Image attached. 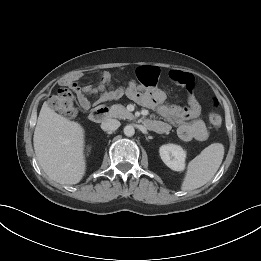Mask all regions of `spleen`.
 <instances>
[{"mask_svg": "<svg viewBox=\"0 0 261 261\" xmlns=\"http://www.w3.org/2000/svg\"><path fill=\"white\" fill-rule=\"evenodd\" d=\"M224 157V146L213 143L188 163L181 189L190 191L209 182L219 169Z\"/></svg>", "mask_w": 261, "mask_h": 261, "instance_id": "1", "label": "spleen"}]
</instances>
